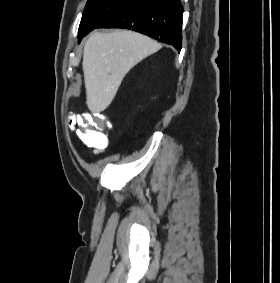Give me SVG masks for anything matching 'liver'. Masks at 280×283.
<instances>
[{"mask_svg": "<svg viewBox=\"0 0 280 283\" xmlns=\"http://www.w3.org/2000/svg\"><path fill=\"white\" fill-rule=\"evenodd\" d=\"M159 49L156 41L133 31L92 33L84 46L82 63L88 109L92 113L104 111L126 73Z\"/></svg>", "mask_w": 280, "mask_h": 283, "instance_id": "1", "label": "liver"}]
</instances>
